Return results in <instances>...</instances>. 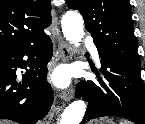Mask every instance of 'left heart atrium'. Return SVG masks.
<instances>
[{
	"label": "left heart atrium",
	"mask_w": 145,
	"mask_h": 124,
	"mask_svg": "<svg viewBox=\"0 0 145 124\" xmlns=\"http://www.w3.org/2000/svg\"><path fill=\"white\" fill-rule=\"evenodd\" d=\"M54 81L60 86L66 85L68 82V76L64 71H58L54 75Z\"/></svg>",
	"instance_id": "1"
}]
</instances>
